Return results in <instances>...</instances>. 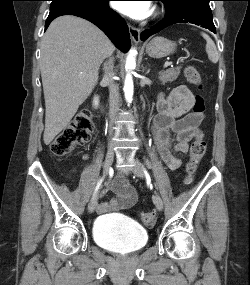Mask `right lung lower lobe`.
Masks as SVG:
<instances>
[{
    "label": "right lung lower lobe",
    "mask_w": 250,
    "mask_h": 285,
    "mask_svg": "<svg viewBox=\"0 0 250 285\" xmlns=\"http://www.w3.org/2000/svg\"><path fill=\"white\" fill-rule=\"evenodd\" d=\"M109 1L101 0L95 5L69 7L50 13L45 29L53 19L62 15L82 17L99 27L114 45L125 53L130 47L129 30L125 21L109 7Z\"/></svg>",
    "instance_id": "98d812e1"
}]
</instances>
